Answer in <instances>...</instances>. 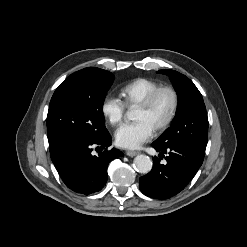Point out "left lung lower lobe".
<instances>
[{
	"label": "left lung lower lobe",
	"instance_id": "1",
	"mask_svg": "<svg viewBox=\"0 0 247 247\" xmlns=\"http://www.w3.org/2000/svg\"><path fill=\"white\" fill-rule=\"evenodd\" d=\"M152 147L160 152L159 157L168 152L165 157L167 163L161 164L154 157L153 168L140 177L139 188L148 197L167 199L183 190L192 180L202 165L205 150L188 142L163 145L154 141Z\"/></svg>",
	"mask_w": 247,
	"mask_h": 247
}]
</instances>
